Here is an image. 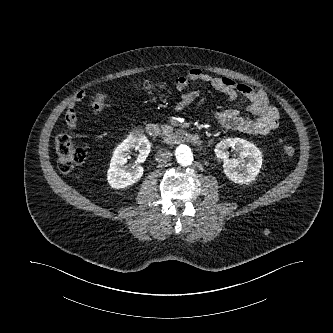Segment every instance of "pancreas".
Listing matches in <instances>:
<instances>
[{
    "instance_id": "pancreas-1",
    "label": "pancreas",
    "mask_w": 333,
    "mask_h": 333,
    "mask_svg": "<svg viewBox=\"0 0 333 333\" xmlns=\"http://www.w3.org/2000/svg\"><path fill=\"white\" fill-rule=\"evenodd\" d=\"M161 128H162V130H163L165 133H169V132H172V131H173V128H172L171 126H169V125H166V124L161 125Z\"/></svg>"
}]
</instances>
